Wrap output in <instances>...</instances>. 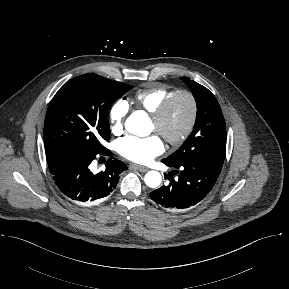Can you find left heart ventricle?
Returning a JSON list of instances; mask_svg holds the SVG:
<instances>
[{"label": "left heart ventricle", "mask_w": 289, "mask_h": 289, "mask_svg": "<svg viewBox=\"0 0 289 289\" xmlns=\"http://www.w3.org/2000/svg\"><path fill=\"white\" fill-rule=\"evenodd\" d=\"M191 114V104L187 97L176 100L165 121L161 125L162 132L170 137H175L182 132L188 123ZM150 129L157 131L155 123L150 121ZM158 132V131H157ZM159 133V132H158ZM160 134V133H159ZM161 135V134H160ZM162 136V135H161Z\"/></svg>", "instance_id": "left-heart-ventricle-1"}]
</instances>
